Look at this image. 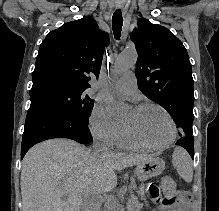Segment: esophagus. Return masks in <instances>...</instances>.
Here are the masks:
<instances>
[{
    "label": "esophagus",
    "mask_w": 219,
    "mask_h": 211,
    "mask_svg": "<svg viewBox=\"0 0 219 211\" xmlns=\"http://www.w3.org/2000/svg\"><path fill=\"white\" fill-rule=\"evenodd\" d=\"M117 8H122V5H116Z\"/></svg>",
    "instance_id": "obj_1"
}]
</instances>
